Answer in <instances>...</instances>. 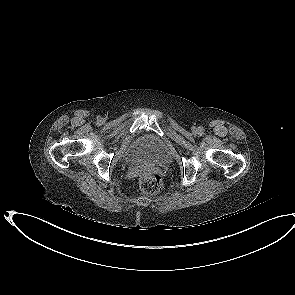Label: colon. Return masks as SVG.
<instances>
[{
    "instance_id": "1",
    "label": "colon",
    "mask_w": 295,
    "mask_h": 295,
    "mask_svg": "<svg viewBox=\"0 0 295 295\" xmlns=\"http://www.w3.org/2000/svg\"><path fill=\"white\" fill-rule=\"evenodd\" d=\"M161 177L149 170H142L139 175V188L146 194H157L162 189Z\"/></svg>"
}]
</instances>
